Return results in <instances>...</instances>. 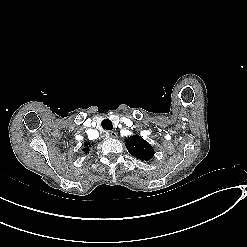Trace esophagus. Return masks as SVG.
I'll use <instances>...</instances> for the list:
<instances>
[{"mask_svg": "<svg viewBox=\"0 0 247 247\" xmlns=\"http://www.w3.org/2000/svg\"><path fill=\"white\" fill-rule=\"evenodd\" d=\"M110 137L117 138L118 136L116 132H110Z\"/></svg>", "mask_w": 247, "mask_h": 247, "instance_id": "esophagus-1", "label": "esophagus"}]
</instances>
